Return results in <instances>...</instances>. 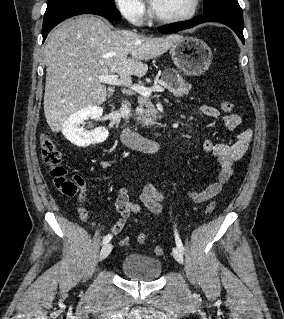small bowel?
<instances>
[{"label":"small bowel","instance_id":"c3829d8e","mask_svg":"<svg viewBox=\"0 0 284 319\" xmlns=\"http://www.w3.org/2000/svg\"><path fill=\"white\" fill-rule=\"evenodd\" d=\"M200 110L204 115L211 118H217L220 116L219 110L210 105H203L201 106ZM223 123L227 129L234 131L240 126L241 118L237 114H228L223 116ZM251 139L252 130L244 129L238 133L235 141L231 144L214 143L211 140H206L203 142L202 149L206 153L212 154L217 160L219 165V173L217 176V181L209 184L205 189L191 190L189 192V195L194 202L201 203L208 201L221 192L223 185L233 174L234 163L241 159L245 154L250 145ZM106 178L107 176L103 175L97 177L96 179L105 180ZM168 195L169 191L159 190L150 184H146L141 189L140 198L143 205L149 210L150 214L160 215L164 211L162 201ZM85 198V192L82 188L78 196L77 212L79 218L83 222H86L89 217L88 211L84 206ZM115 206L120 217L110 230V232L114 235L123 230L131 214H139L142 211V208L139 204L133 203L130 200L129 195L124 188L119 190ZM150 214H148V216H150Z\"/></svg>","mask_w":284,"mask_h":319}]
</instances>
